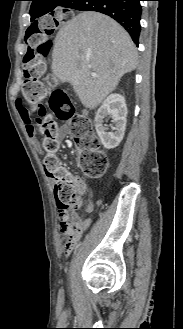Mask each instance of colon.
<instances>
[{"label":"colon","mask_w":183,"mask_h":329,"mask_svg":"<svg viewBox=\"0 0 183 329\" xmlns=\"http://www.w3.org/2000/svg\"><path fill=\"white\" fill-rule=\"evenodd\" d=\"M72 20L73 15L66 11L41 14L40 19H34V25H30L25 32L27 50L22 63L24 96L16 97L19 114H35V112L37 114L32 127L35 134L39 133L44 137L43 169L46 176L54 180L53 193L57 210L61 214L69 213L78 207L79 191L76 181L56 155L57 127L52 114L40 101L43 90L39 81L52 82L50 74H40L42 73L41 59L53 49L52 38H57L61 26H67V21ZM49 106L57 118L70 124L71 134L80 151L79 165L83 174L88 178L101 177L109 166V160L98 149L99 141L93 133L90 120L73 111L67 94L60 89L52 93ZM62 232L69 235L68 243L73 244L80 233V228L71 222H64Z\"/></svg>","instance_id":"1"}]
</instances>
